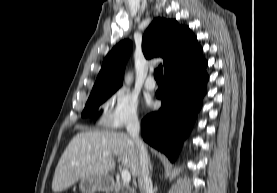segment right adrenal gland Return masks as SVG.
Listing matches in <instances>:
<instances>
[{
  "instance_id": "obj_1",
  "label": "right adrenal gland",
  "mask_w": 277,
  "mask_h": 193,
  "mask_svg": "<svg viewBox=\"0 0 277 193\" xmlns=\"http://www.w3.org/2000/svg\"><path fill=\"white\" fill-rule=\"evenodd\" d=\"M152 170H153V166H152V164H150V171H151V173H152Z\"/></svg>"
}]
</instances>
